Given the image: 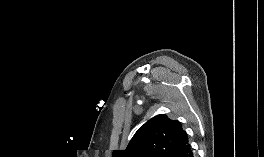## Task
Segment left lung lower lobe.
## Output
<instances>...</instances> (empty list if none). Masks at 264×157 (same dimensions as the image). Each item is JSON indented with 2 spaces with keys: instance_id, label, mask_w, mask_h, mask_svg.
<instances>
[{
  "instance_id": "left-lung-lower-lobe-1",
  "label": "left lung lower lobe",
  "mask_w": 264,
  "mask_h": 157,
  "mask_svg": "<svg viewBox=\"0 0 264 157\" xmlns=\"http://www.w3.org/2000/svg\"><path fill=\"white\" fill-rule=\"evenodd\" d=\"M190 157H195L194 154L192 153V155Z\"/></svg>"
}]
</instances>
